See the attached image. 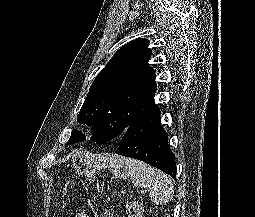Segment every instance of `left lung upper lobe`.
Segmentation results:
<instances>
[{"instance_id": "1", "label": "left lung upper lobe", "mask_w": 255, "mask_h": 217, "mask_svg": "<svg viewBox=\"0 0 255 217\" xmlns=\"http://www.w3.org/2000/svg\"><path fill=\"white\" fill-rule=\"evenodd\" d=\"M148 40L136 39L121 47L97 75L77 121L93 126L98 144L121 139L126 130L154 103L155 71L148 66ZM86 140L73 130L68 145Z\"/></svg>"}]
</instances>
